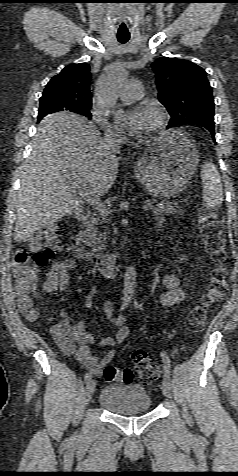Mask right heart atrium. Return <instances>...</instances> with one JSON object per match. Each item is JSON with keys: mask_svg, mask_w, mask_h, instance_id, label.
I'll use <instances>...</instances> for the list:
<instances>
[{"mask_svg": "<svg viewBox=\"0 0 238 476\" xmlns=\"http://www.w3.org/2000/svg\"><path fill=\"white\" fill-rule=\"evenodd\" d=\"M93 120L101 127L105 135L108 137H117L118 130L109 123L106 114L98 109L92 111Z\"/></svg>", "mask_w": 238, "mask_h": 476, "instance_id": "obj_1", "label": "right heart atrium"}]
</instances>
